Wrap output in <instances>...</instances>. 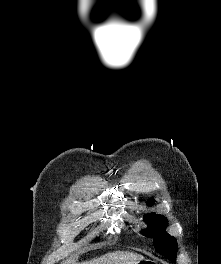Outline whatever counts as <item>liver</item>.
Returning a JSON list of instances; mask_svg holds the SVG:
<instances>
[{
    "instance_id": "liver-1",
    "label": "liver",
    "mask_w": 221,
    "mask_h": 264,
    "mask_svg": "<svg viewBox=\"0 0 221 264\" xmlns=\"http://www.w3.org/2000/svg\"><path fill=\"white\" fill-rule=\"evenodd\" d=\"M142 259L144 257L137 253L115 251L89 261L74 264H135Z\"/></svg>"
}]
</instances>
